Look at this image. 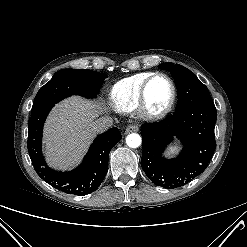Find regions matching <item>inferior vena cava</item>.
Returning <instances> with one entry per match:
<instances>
[{
  "label": "inferior vena cava",
  "instance_id": "inferior-vena-cava-1",
  "mask_svg": "<svg viewBox=\"0 0 247 247\" xmlns=\"http://www.w3.org/2000/svg\"><path fill=\"white\" fill-rule=\"evenodd\" d=\"M113 124V119L111 117H101L90 125L91 130L95 133H103L108 130Z\"/></svg>",
  "mask_w": 247,
  "mask_h": 247
}]
</instances>
